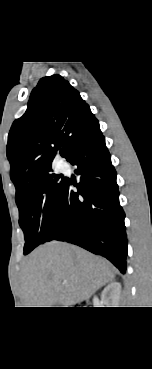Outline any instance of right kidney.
Segmentation results:
<instances>
[{
    "label": "right kidney",
    "instance_id": "1",
    "mask_svg": "<svg viewBox=\"0 0 152 369\" xmlns=\"http://www.w3.org/2000/svg\"><path fill=\"white\" fill-rule=\"evenodd\" d=\"M120 295L121 284L119 282H112L104 288L101 299L107 307H116L119 303Z\"/></svg>",
    "mask_w": 152,
    "mask_h": 369
}]
</instances>
